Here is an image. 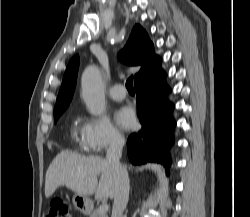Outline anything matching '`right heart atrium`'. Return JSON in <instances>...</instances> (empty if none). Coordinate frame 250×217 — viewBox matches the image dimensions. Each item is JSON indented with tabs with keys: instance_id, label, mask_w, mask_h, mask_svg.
<instances>
[{
	"instance_id": "1",
	"label": "right heart atrium",
	"mask_w": 250,
	"mask_h": 217,
	"mask_svg": "<svg viewBox=\"0 0 250 217\" xmlns=\"http://www.w3.org/2000/svg\"><path fill=\"white\" fill-rule=\"evenodd\" d=\"M124 136L106 115L88 117L84 120L81 131L83 147L94 153L100 154L105 150L120 146Z\"/></svg>"
}]
</instances>
